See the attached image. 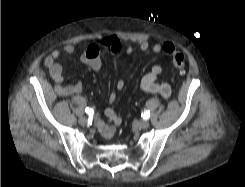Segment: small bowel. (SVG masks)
<instances>
[{"mask_svg": "<svg viewBox=\"0 0 245 187\" xmlns=\"http://www.w3.org/2000/svg\"><path fill=\"white\" fill-rule=\"evenodd\" d=\"M166 43H156L150 46L149 42L142 40L139 43V50L146 52L149 49L155 54L164 51V45ZM102 50H108L113 53H119L122 50L120 41L113 35H108L102 38L96 43L90 44L80 55V59L83 63L88 65L93 71L98 72L102 67L100 59V53ZM63 53L72 55L75 52L73 44H65L62 49ZM126 52L128 54L133 53L132 47H127ZM165 52V51H164ZM62 52L60 50L52 51L44 60V65L48 68L52 80L55 82V92L59 96H78L81 94L83 85L80 81H72L69 84H63L64 75L63 68L59 62ZM163 73V68L160 65L151 66L149 72L142 78L140 82V88L148 93L158 94L163 98H168L171 95V87L168 83L160 81V76ZM116 87L118 90H122L125 87L123 79L117 81ZM116 99L115 94H111L109 97L110 102H114ZM105 120L100 117L96 118V124L99 127L102 135L105 138H111L116 132V127L120 125L121 118L116 112L107 108L104 112Z\"/></svg>", "mask_w": 245, "mask_h": 187, "instance_id": "c3829d8e", "label": "small bowel"}]
</instances>
